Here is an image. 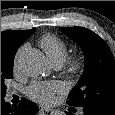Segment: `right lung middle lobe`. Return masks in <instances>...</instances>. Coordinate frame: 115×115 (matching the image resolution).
Here are the masks:
<instances>
[{
    "instance_id": "right-lung-middle-lobe-1",
    "label": "right lung middle lobe",
    "mask_w": 115,
    "mask_h": 115,
    "mask_svg": "<svg viewBox=\"0 0 115 115\" xmlns=\"http://www.w3.org/2000/svg\"><path fill=\"white\" fill-rule=\"evenodd\" d=\"M13 74V62H1V99L6 93L5 81Z\"/></svg>"
}]
</instances>
